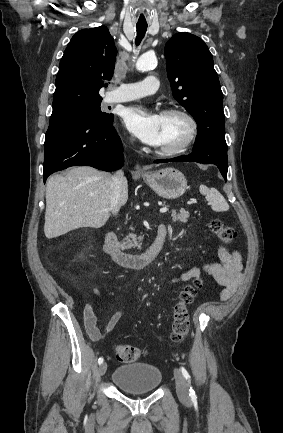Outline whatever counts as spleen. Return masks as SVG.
Masks as SVG:
<instances>
[{
    "label": "spleen",
    "mask_w": 283,
    "mask_h": 433,
    "mask_svg": "<svg viewBox=\"0 0 283 433\" xmlns=\"http://www.w3.org/2000/svg\"><path fill=\"white\" fill-rule=\"evenodd\" d=\"M199 190L201 194H205L206 200L210 202L211 208L216 210V212H221V210H228L229 204L222 196L221 192L217 188H208L205 184H200Z\"/></svg>",
    "instance_id": "obj_1"
}]
</instances>
